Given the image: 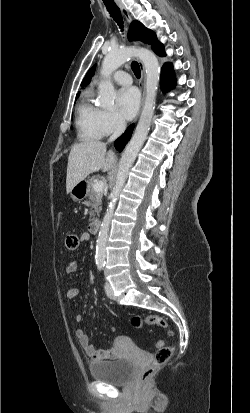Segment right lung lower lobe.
Here are the masks:
<instances>
[{"mask_svg":"<svg viewBox=\"0 0 250 413\" xmlns=\"http://www.w3.org/2000/svg\"><path fill=\"white\" fill-rule=\"evenodd\" d=\"M134 125H131L127 128V130L116 140L115 146L118 151H122L124 146L127 144L129 141L131 134L133 132Z\"/></svg>","mask_w":250,"mask_h":413,"instance_id":"right-lung-lower-lobe-1","label":"right lung lower lobe"}]
</instances>
